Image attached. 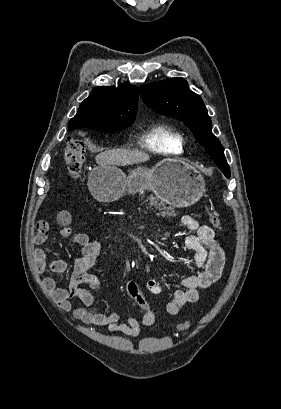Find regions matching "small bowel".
Returning <instances> with one entry per match:
<instances>
[{
    "label": "small bowel",
    "mask_w": 281,
    "mask_h": 409,
    "mask_svg": "<svg viewBox=\"0 0 281 409\" xmlns=\"http://www.w3.org/2000/svg\"><path fill=\"white\" fill-rule=\"evenodd\" d=\"M71 223L70 212L62 210L58 215L60 235L65 238L69 237L73 244L81 247V256L75 260L70 285L60 287L52 277H45L43 280L44 288L64 311H70L75 301H79L80 304L73 310V316L82 323L104 326L110 332L121 333L130 337L138 336L143 328L155 323V312L150 308L135 281H129L126 284V291L142 308L143 315L140 318H129L120 323L119 314H104L96 308H91L95 302V293H98L101 288V280L90 274L88 270L98 257L101 244L98 241L90 240L86 233H72ZM181 223L194 232L193 235L186 238L185 246L195 253V265L198 271L182 280L181 284L184 290L176 291L173 299L167 304V312L170 315L178 314L180 309L188 303L197 302L199 291L216 283L221 278L225 266L224 250L216 241L211 227L200 224L189 215L183 216ZM34 229L37 234L33 237V242L40 245L46 239L45 236L48 234L50 224L49 222H35ZM34 258L40 271L47 269L52 273H63L68 267L64 260L49 261L43 248L35 249ZM82 283L88 284L92 292L79 287V284ZM147 287L153 293L159 291V287L154 280H149Z\"/></svg>",
    "instance_id": "1"
}]
</instances>
